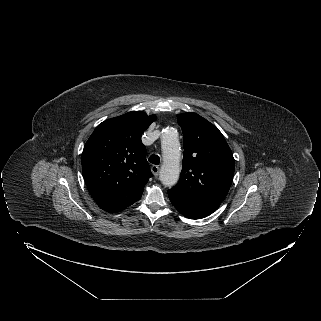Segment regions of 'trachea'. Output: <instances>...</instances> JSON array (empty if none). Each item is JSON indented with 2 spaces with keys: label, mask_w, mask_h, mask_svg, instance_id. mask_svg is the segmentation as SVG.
Segmentation results:
<instances>
[{
  "label": "trachea",
  "mask_w": 321,
  "mask_h": 321,
  "mask_svg": "<svg viewBox=\"0 0 321 321\" xmlns=\"http://www.w3.org/2000/svg\"><path fill=\"white\" fill-rule=\"evenodd\" d=\"M149 161L152 163V164H155V165H158L160 163V157L158 155H151L149 157Z\"/></svg>",
  "instance_id": "obj_1"
}]
</instances>
